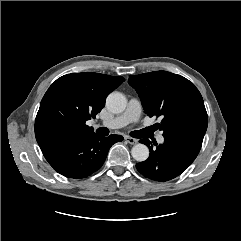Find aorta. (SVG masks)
I'll return each mask as SVG.
<instances>
[{"label": "aorta", "instance_id": "aorta-1", "mask_svg": "<svg viewBox=\"0 0 241 241\" xmlns=\"http://www.w3.org/2000/svg\"><path fill=\"white\" fill-rule=\"evenodd\" d=\"M126 105V97L120 92H112L106 99V106L114 113L123 112ZM131 155L136 161L143 162L149 157V149L146 145L138 143L132 147Z\"/></svg>", "mask_w": 241, "mask_h": 241}]
</instances>
